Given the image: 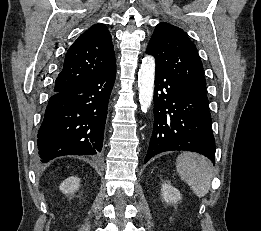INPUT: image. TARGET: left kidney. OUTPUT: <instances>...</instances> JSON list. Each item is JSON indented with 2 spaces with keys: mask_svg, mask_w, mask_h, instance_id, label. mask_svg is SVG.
I'll list each match as a JSON object with an SVG mask.
<instances>
[{
  "mask_svg": "<svg viewBox=\"0 0 261 231\" xmlns=\"http://www.w3.org/2000/svg\"><path fill=\"white\" fill-rule=\"evenodd\" d=\"M162 199L168 204H176L181 200V194L179 190L170 184H163L161 187Z\"/></svg>",
  "mask_w": 261,
  "mask_h": 231,
  "instance_id": "5707ae66",
  "label": "left kidney"
}]
</instances>
